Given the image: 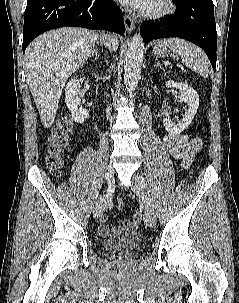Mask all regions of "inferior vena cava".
<instances>
[{
	"label": "inferior vena cava",
	"instance_id": "602c4592",
	"mask_svg": "<svg viewBox=\"0 0 239 303\" xmlns=\"http://www.w3.org/2000/svg\"><path fill=\"white\" fill-rule=\"evenodd\" d=\"M105 36H106L105 34H103V35H102V37H105ZM107 111L109 112V110H108V109H107Z\"/></svg>",
	"mask_w": 239,
	"mask_h": 303
}]
</instances>
